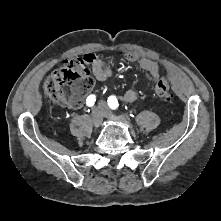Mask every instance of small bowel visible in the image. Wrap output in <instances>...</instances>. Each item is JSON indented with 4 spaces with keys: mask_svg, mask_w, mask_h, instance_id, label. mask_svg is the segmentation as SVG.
<instances>
[{
    "mask_svg": "<svg viewBox=\"0 0 221 221\" xmlns=\"http://www.w3.org/2000/svg\"><path fill=\"white\" fill-rule=\"evenodd\" d=\"M92 67V71L99 81H106L112 76L111 69L106 63L96 54L88 53L84 56ZM125 58L129 62H138L140 67L146 71L150 76V82H155L159 78L160 68L156 61L142 57L139 58L134 52L125 54ZM138 94L135 90L129 89L123 95V100L127 103H133L137 100Z\"/></svg>",
    "mask_w": 221,
    "mask_h": 221,
    "instance_id": "small-bowel-1",
    "label": "small bowel"
}]
</instances>
